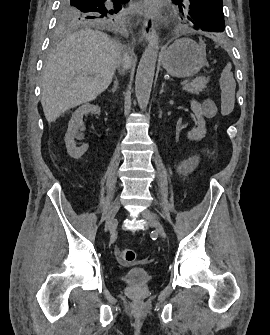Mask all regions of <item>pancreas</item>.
Segmentation results:
<instances>
[{
  "label": "pancreas",
  "mask_w": 270,
  "mask_h": 335,
  "mask_svg": "<svg viewBox=\"0 0 270 335\" xmlns=\"http://www.w3.org/2000/svg\"><path fill=\"white\" fill-rule=\"evenodd\" d=\"M210 78H204V76H199V78H195L189 84H185V88L183 90H187V92H191V94H200V92H204L205 88H207V84Z\"/></svg>",
  "instance_id": "1"
}]
</instances>
